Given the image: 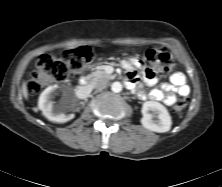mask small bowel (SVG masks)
I'll list each match as a JSON object with an SVG mask.
<instances>
[{"label":"small bowel","instance_id":"small-bowel-1","mask_svg":"<svg viewBox=\"0 0 222 187\" xmlns=\"http://www.w3.org/2000/svg\"><path fill=\"white\" fill-rule=\"evenodd\" d=\"M126 79H128L131 84L138 86L137 73L131 64H128ZM144 82L147 85H155L157 79L150 74L149 71H146L144 74ZM138 89H140L139 86ZM189 91L190 89L186 83L185 76L178 72L172 75L171 83H164L159 89L152 90L151 92L139 90V96L142 99H151L163 102L166 105H173L177 100V95H188Z\"/></svg>","mask_w":222,"mask_h":187}]
</instances>
